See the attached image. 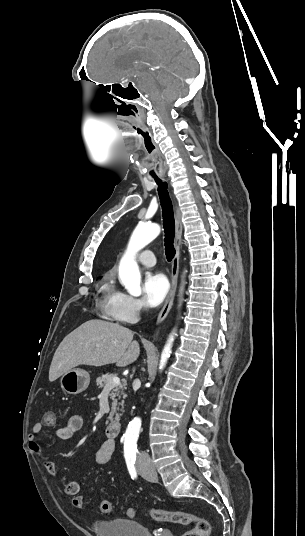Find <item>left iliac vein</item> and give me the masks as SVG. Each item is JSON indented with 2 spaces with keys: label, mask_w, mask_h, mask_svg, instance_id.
Masks as SVG:
<instances>
[{
  "label": "left iliac vein",
  "mask_w": 305,
  "mask_h": 536,
  "mask_svg": "<svg viewBox=\"0 0 305 536\" xmlns=\"http://www.w3.org/2000/svg\"><path fill=\"white\" fill-rule=\"evenodd\" d=\"M136 468H137L138 473L141 476L148 478V480L152 482L157 481V473L154 467L150 466L148 468H144L141 465H139V463H137Z\"/></svg>",
  "instance_id": "left-iliac-vein-1"
}]
</instances>
